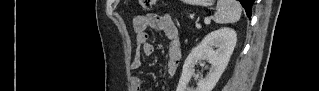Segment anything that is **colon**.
<instances>
[{
	"mask_svg": "<svg viewBox=\"0 0 319 91\" xmlns=\"http://www.w3.org/2000/svg\"><path fill=\"white\" fill-rule=\"evenodd\" d=\"M157 3L156 0H142L141 4L145 9H150Z\"/></svg>",
	"mask_w": 319,
	"mask_h": 91,
	"instance_id": "colon-1",
	"label": "colon"
}]
</instances>
